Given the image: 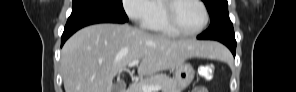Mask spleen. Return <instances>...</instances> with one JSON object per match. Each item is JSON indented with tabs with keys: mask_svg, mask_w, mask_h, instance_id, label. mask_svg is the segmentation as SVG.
Returning <instances> with one entry per match:
<instances>
[{
	"mask_svg": "<svg viewBox=\"0 0 296 92\" xmlns=\"http://www.w3.org/2000/svg\"><path fill=\"white\" fill-rule=\"evenodd\" d=\"M222 47V46H221ZM223 48V47H222ZM229 56L225 54V49H219L216 58H228Z\"/></svg>",
	"mask_w": 296,
	"mask_h": 92,
	"instance_id": "obj_1",
	"label": "spleen"
}]
</instances>
